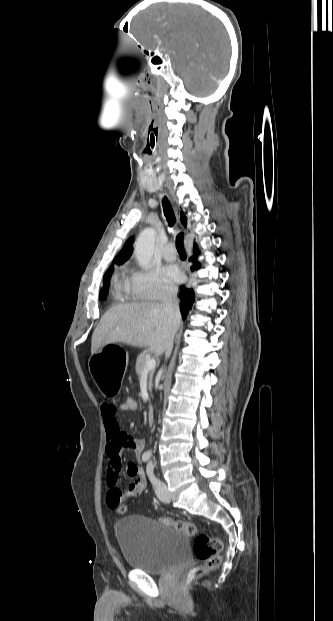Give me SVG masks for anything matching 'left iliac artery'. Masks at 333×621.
<instances>
[{"mask_svg":"<svg viewBox=\"0 0 333 621\" xmlns=\"http://www.w3.org/2000/svg\"><path fill=\"white\" fill-rule=\"evenodd\" d=\"M146 473L153 486L158 487L160 485V481L154 474V464L152 461L148 462L146 467Z\"/></svg>","mask_w":333,"mask_h":621,"instance_id":"1","label":"left iliac artery"}]
</instances>
